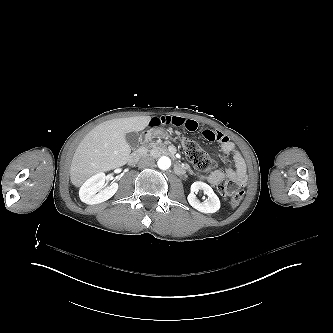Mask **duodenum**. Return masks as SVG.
Returning a JSON list of instances; mask_svg holds the SVG:
<instances>
[{
	"label": "duodenum",
	"mask_w": 333,
	"mask_h": 333,
	"mask_svg": "<svg viewBox=\"0 0 333 333\" xmlns=\"http://www.w3.org/2000/svg\"><path fill=\"white\" fill-rule=\"evenodd\" d=\"M150 138V132L149 131H146L143 133L142 137H141V143H146ZM143 154V150L142 149H138L136 151H134L133 153H131V155L129 156L128 158V163L130 165H135L140 157L142 156ZM175 171L178 173V174H183L185 172V168L183 165L177 163L175 164Z\"/></svg>",
	"instance_id": "1"
}]
</instances>
